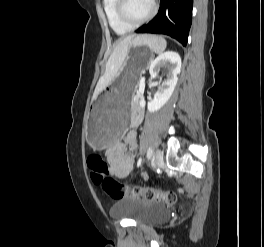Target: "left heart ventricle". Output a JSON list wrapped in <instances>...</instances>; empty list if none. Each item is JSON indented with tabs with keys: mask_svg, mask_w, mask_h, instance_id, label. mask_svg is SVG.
Returning a JSON list of instances; mask_svg holds the SVG:
<instances>
[{
	"mask_svg": "<svg viewBox=\"0 0 264 247\" xmlns=\"http://www.w3.org/2000/svg\"><path fill=\"white\" fill-rule=\"evenodd\" d=\"M127 11L134 20L143 18L151 8V0H127Z\"/></svg>",
	"mask_w": 264,
	"mask_h": 247,
	"instance_id": "1",
	"label": "left heart ventricle"
}]
</instances>
